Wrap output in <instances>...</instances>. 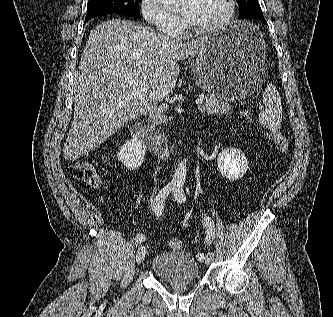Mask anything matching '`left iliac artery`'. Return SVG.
<instances>
[{"label": "left iliac artery", "instance_id": "obj_1", "mask_svg": "<svg viewBox=\"0 0 333 317\" xmlns=\"http://www.w3.org/2000/svg\"><path fill=\"white\" fill-rule=\"evenodd\" d=\"M174 197L180 203L186 201V196L183 192V185L182 184H178L175 187ZM204 223H205L206 228H207L206 243L211 244V242L213 241V238L215 236V224H214L213 220L210 217H204ZM197 257H198V260H200V261H203L205 259L204 254L201 253V252L198 253Z\"/></svg>", "mask_w": 333, "mask_h": 317}]
</instances>
